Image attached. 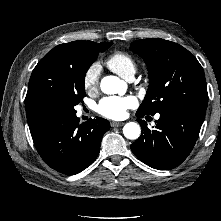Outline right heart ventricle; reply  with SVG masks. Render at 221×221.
<instances>
[{
  "instance_id": "right-heart-ventricle-1",
  "label": "right heart ventricle",
  "mask_w": 221,
  "mask_h": 221,
  "mask_svg": "<svg viewBox=\"0 0 221 221\" xmlns=\"http://www.w3.org/2000/svg\"><path fill=\"white\" fill-rule=\"evenodd\" d=\"M106 65L125 79L134 75L137 69L134 58L128 53L120 51L111 54L106 60Z\"/></svg>"
}]
</instances>
